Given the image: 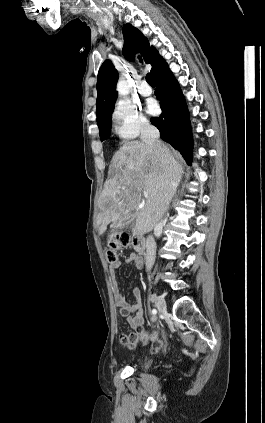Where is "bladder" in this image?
<instances>
[{"mask_svg":"<svg viewBox=\"0 0 265 423\" xmlns=\"http://www.w3.org/2000/svg\"><path fill=\"white\" fill-rule=\"evenodd\" d=\"M149 364H150V362H146V363L144 364V366H145V367H147V366H149Z\"/></svg>","mask_w":265,"mask_h":423,"instance_id":"obj_1","label":"bladder"}]
</instances>
